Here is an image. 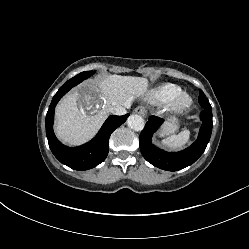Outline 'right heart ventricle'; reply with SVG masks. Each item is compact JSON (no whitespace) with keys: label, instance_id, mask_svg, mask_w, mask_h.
Returning <instances> with one entry per match:
<instances>
[{"label":"right heart ventricle","instance_id":"right-heart-ventricle-1","mask_svg":"<svg viewBox=\"0 0 249 249\" xmlns=\"http://www.w3.org/2000/svg\"><path fill=\"white\" fill-rule=\"evenodd\" d=\"M182 93L178 85L165 83L154 89L149 93V100L154 104H169Z\"/></svg>","mask_w":249,"mask_h":249}]
</instances>
